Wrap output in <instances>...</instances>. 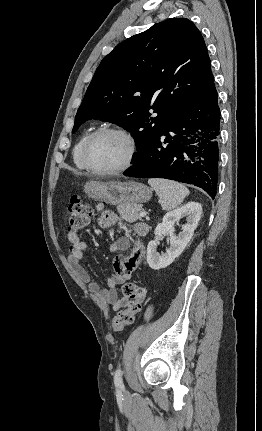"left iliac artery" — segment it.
<instances>
[{"mask_svg":"<svg viewBox=\"0 0 262 431\" xmlns=\"http://www.w3.org/2000/svg\"><path fill=\"white\" fill-rule=\"evenodd\" d=\"M114 383H115V385H116V386L123 387V382H122V371H121V369H120V368H118V369L115 371V375H114Z\"/></svg>","mask_w":262,"mask_h":431,"instance_id":"obj_1","label":"left iliac artery"}]
</instances>
